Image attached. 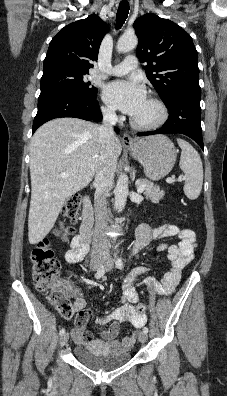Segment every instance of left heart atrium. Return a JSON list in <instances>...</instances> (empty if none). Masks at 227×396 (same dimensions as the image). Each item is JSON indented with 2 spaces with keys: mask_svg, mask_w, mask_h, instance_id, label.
Returning <instances> with one entry per match:
<instances>
[{
  "mask_svg": "<svg viewBox=\"0 0 227 396\" xmlns=\"http://www.w3.org/2000/svg\"><path fill=\"white\" fill-rule=\"evenodd\" d=\"M103 99L111 106L134 116L146 103L147 95L139 80L129 79L109 83L104 89Z\"/></svg>",
  "mask_w": 227,
  "mask_h": 396,
  "instance_id": "1",
  "label": "left heart atrium"
}]
</instances>
